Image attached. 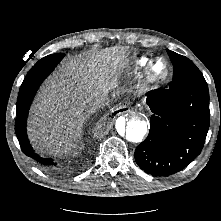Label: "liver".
Wrapping results in <instances>:
<instances>
[{
    "instance_id": "obj_1",
    "label": "liver",
    "mask_w": 221,
    "mask_h": 221,
    "mask_svg": "<svg viewBox=\"0 0 221 221\" xmlns=\"http://www.w3.org/2000/svg\"><path fill=\"white\" fill-rule=\"evenodd\" d=\"M125 47L68 57L41 88L28 121L29 138L42 153L61 155L78 142L93 101L118 89L128 63Z\"/></svg>"
}]
</instances>
